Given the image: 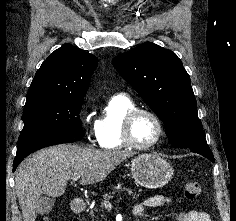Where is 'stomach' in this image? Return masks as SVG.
Returning <instances> with one entry per match:
<instances>
[{
    "mask_svg": "<svg viewBox=\"0 0 236 221\" xmlns=\"http://www.w3.org/2000/svg\"><path fill=\"white\" fill-rule=\"evenodd\" d=\"M131 174L136 184L149 189H157L171 180L174 170L159 155L143 153L132 159Z\"/></svg>",
    "mask_w": 236,
    "mask_h": 221,
    "instance_id": "1",
    "label": "stomach"
}]
</instances>
